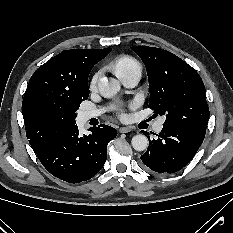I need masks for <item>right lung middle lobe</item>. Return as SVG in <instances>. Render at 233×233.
Returning <instances> with one entry per match:
<instances>
[{
	"label": "right lung middle lobe",
	"instance_id": "dd1d6c3e",
	"mask_svg": "<svg viewBox=\"0 0 233 233\" xmlns=\"http://www.w3.org/2000/svg\"><path fill=\"white\" fill-rule=\"evenodd\" d=\"M89 96V90L81 96L70 98H45L37 106L36 116L46 126L70 129L76 125V111Z\"/></svg>",
	"mask_w": 233,
	"mask_h": 233
}]
</instances>
